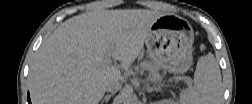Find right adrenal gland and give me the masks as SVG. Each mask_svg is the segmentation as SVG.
Here are the masks:
<instances>
[{
	"mask_svg": "<svg viewBox=\"0 0 252 104\" xmlns=\"http://www.w3.org/2000/svg\"><path fill=\"white\" fill-rule=\"evenodd\" d=\"M113 95H114V93L105 95V97H104L103 100L100 102V104H107V103L109 102V99H110Z\"/></svg>",
	"mask_w": 252,
	"mask_h": 104,
	"instance_id": "right-adrenal-gland-1",
	"label": "right adrenal gland"
}]
</instances>
